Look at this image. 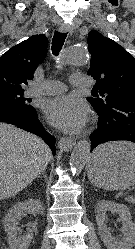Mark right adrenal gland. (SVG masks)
<instances>
[{
	"mask_svg": "<svg viewBox=\"0 0 135 249\" xmlns=\"http://www.w3.org/2000/svg\"><path fill=\"white\" fill-rule=\"evenodd\" d=\"M45 180H47V177H46V174H45V171L42 172V176Z\"/></svg>",
	"mask_w": 135,
	"mask_h": 249,
	"instance_id": "right-adrenal-gland-1",
	"label": "right adrenal gland"
}]
</instances>
